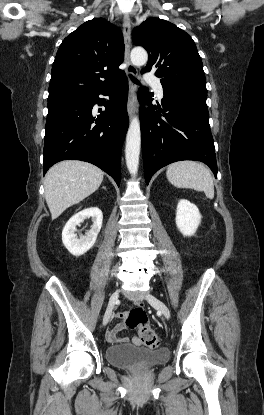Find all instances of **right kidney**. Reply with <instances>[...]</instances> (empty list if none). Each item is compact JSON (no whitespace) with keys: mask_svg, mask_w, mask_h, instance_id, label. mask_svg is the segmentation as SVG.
I'll use <instances>...</instances> for the list:
<instances>
[{"mask_svg":"<svg viewBox=\"0 0 264 415\" xmlns=\"http://www.w3.org/2000/svg\"><path fill=\"white\" fill-rule=\"evenodd\" d=\"M86 218H91L93 224L85 236L77 238L76 226ZM103 215L99 208L92 207L84 209L72 216L62 231V242L67 250L74 256H80L91 249L101 230Z\"/></svg>","mask_w":264,"mask_h":415,"instance_id":"ca27d5eb","label":"right kidney"}]
</instances>
